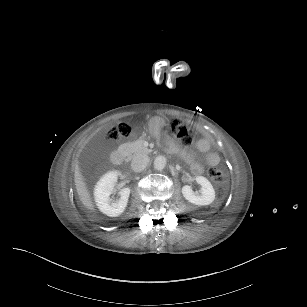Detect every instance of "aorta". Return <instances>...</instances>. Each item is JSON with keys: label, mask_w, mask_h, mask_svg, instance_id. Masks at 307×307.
<instances>
[{"label": "aorta", "mask_w": 307, "mask_h": 307, "mask_svg": "<svg viewBox=\"0 0 307 307\" xmlns=\"http://www.w3.org/2000/svg\"><path fill=\"white\" fill-rule=\"evenodd\" d=\"M167 164V159L164 156H157L154 160V168L156 170H163Z\"/></svg>", "instance_id": "762f6f07"}]
</instances>
